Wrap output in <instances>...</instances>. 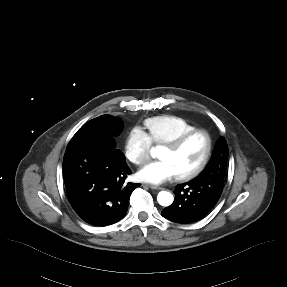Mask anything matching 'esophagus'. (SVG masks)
<instances>
[{
	"instance_id": "esophagus-1",
	"label": "esophagus",
	"mask_w": 287,
	"mask_h": 287,
	"mask_svg": "<svg viewBox=\"0 0 287 287\" xmlns=\"http://www.w3.org/2000/svg\"><path fill=\"white\" fill-rule=\"evenodd\" d=\"M147 186L153 190H161L162 189L161 187L154 185V184H148Z\"/></svg>"
}]
</instances>
